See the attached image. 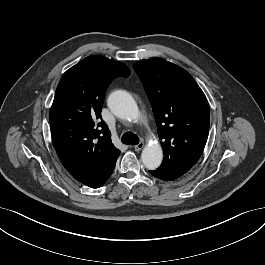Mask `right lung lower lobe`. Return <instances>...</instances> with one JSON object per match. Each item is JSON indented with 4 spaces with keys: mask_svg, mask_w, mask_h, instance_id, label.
<instances>
[{
    "mask_svg": "<svg viewBox=\"0 0 265 265\" xmlns=\"http://www.w3.org/2000/svg\"><path fill=\"white\" fill-rule=\"evenodd\" d=\"M119 155L103 162L94 172L74 177L79 182L91 188H99L111 176Z\"/></svg>",
    "mask_w": 265,
    "mask_h": 265,
    "instance_id": "98d812e1",
    "label": "right lung lower lobe"
}]
</instances>
